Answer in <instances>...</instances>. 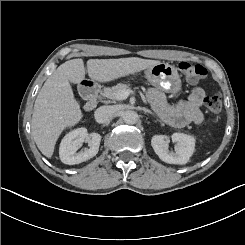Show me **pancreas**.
I'll use <instances>...</instances> for the list:
<instances>
[{
	"instance_id": "pancreas-1",
	"label": "pancreas",
	"mask_w": 245,
	"mask_h": 245,
	"mask_svg": "<svg viewBox=\"0 0 245 245\" xmlns=\"http://www.w3.org/2000/svg\"><path fill=\"white\" fill-rule=\"evenodd\" d=\"M127 90V86L124 83H119L112 87H104L101 91L100 96L106 98L109 102L119 100L118 93L120 90Z\"/></svg>"
}]
</instances>
